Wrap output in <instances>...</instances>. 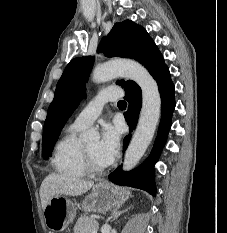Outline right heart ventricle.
<instances>
[{
    "label": "right heart ventricle",
    "instance_id": "obj_1",
    "mask_svg": "<svg viewBox=\"0 0 227 233\" xmlns=\"http://www.w3.org/2000/svg\"><path fill=\"white\" fill-rule=\"evenodd\" d=\"M81 130L70 125L55 145L51 164L58 174L67 178H82L87 174L79 140Z\"/></svg>",
    "mask_w": 227,
    "mask_h": 233
}]
</instances>
